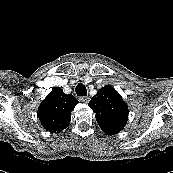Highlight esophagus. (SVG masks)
<instances>
[{
	"instance_id": "esophagus-1",
	"label": "esophagus",
	"mask_w": 173,
	"mask_h": 173,
	"mask_svg": "<svg viewBox=\"0 0 173 173\" xmlns=\"http://www.w3.org/2000/svg\"><path fill=\"white\" fill-rule=\"evenodd\" d=\"M89 100H90V98H89L88 96L80 97V101H81V102L88 103Z\"/></svg>"
}]
</instances>
